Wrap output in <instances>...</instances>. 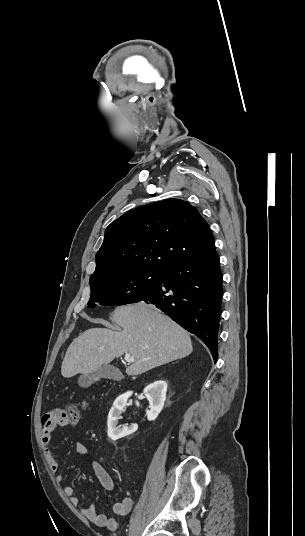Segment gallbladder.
<instances>
[{
    "instance_id": "obj_1",
    "label": "gallbladder",
    "mask_w": 305,
    "mask_h": 536,
    "mask_svg": "<svg viewBox=\"0 0 305 536\" xmlns=\"http://www.w3.org/2000/svg\"><path fill=\"white\" fill-rule=\"evenodd\" d=\"M100 378H108V380H121L122 374L118 368L109 366V364H102L100 370H97L95 374H82L78 378V384L81 388H89L94 382H98Z\"/></svg>"
}]
</instances>
